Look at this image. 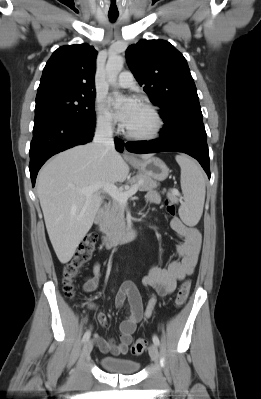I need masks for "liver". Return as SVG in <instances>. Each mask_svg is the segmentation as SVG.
I'll return each mask as SVG.
<instances>
[{"label":"liver","mask_w":261,"mask_h":399,"mask_svg":"<svg viewBox=\"0 0 261 399\" xmlns=\"http://www.w3.org/2000/svg\"><path fill=\"white\" fill-rule=\"evenodd\" d=\"M152 155H141L148 159ZM129 167L114 149L88 143L57 154L39 172L37 195L54 251L63 264L73 257L93 225L101 205L98 191L85 195L80 189L123 182Z\"/></svg>","instance_id":"6515ba94"}]
</instances>
